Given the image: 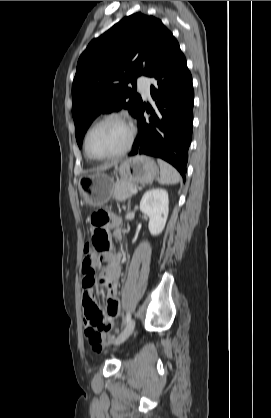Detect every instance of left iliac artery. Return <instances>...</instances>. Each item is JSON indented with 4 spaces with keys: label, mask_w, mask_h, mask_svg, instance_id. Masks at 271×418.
<instances>
[{
    "label": "left iliac artery",
    "mask_w": 271,
    "mask_h": 418,
    "mask_svg": "<svg viewBox=\"0 0 271 418\" xmlns=\"http://www.w3.org/2000/svg\"><path fill=\"white\" fill-rule=\"evenodd\" d=\"M130 319H131V313L128 312L125 318V324L129 323Z\"/></svg>",
    "instance_id": "44dca946"
}]
</instances>
